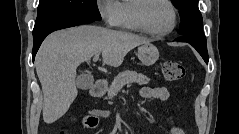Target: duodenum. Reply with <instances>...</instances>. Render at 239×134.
<instances>
[{
  "mask_svg": "<svg viewBox=\"0 0 239 134\" xmlns=\"http://www.w3.org/2000/svg\"><path fill=\"white\" fill-rule=\"evenodd\" d=\"M105 86V81L102 78H96L90 90L91 95L93 97H100L104 92Z\"/></svg>",
  "mask_w": 239,
  "mask_h": 134,
  "instance_id": "1",
  "label": "duodenum"
}]
</instances>
